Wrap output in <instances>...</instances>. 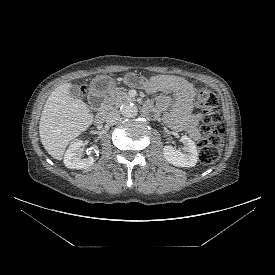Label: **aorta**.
<instances>
[{
    "mask_svg": "<svg viewBox=\"0 0 275 275\" xmlns=\"http://www.w3.org/2000/svg\"><path fill=\"white\" fill-rule=\"evenodd\" d=\"M121 113L125 117L132 118L137 115L138 109L133 103H126L121 106Z\"/></svg>",
    "mask_w": 275,
    "mask_h": 275,
    "instance_id": "aorta-1",
    "label": "aorta"
}]
</instances>
